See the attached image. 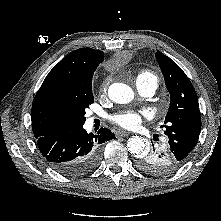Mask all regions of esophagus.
<instances>
[{
	"label": "esophagus",
	"mask_w": 221,
	"mask_h": 221,
	"mask_svg": "<svg viewBox=\"0 0 221 221\" xmlns=\"http://www.w3.org/2000/svg\"><path fill=\"white\" fill-rule=\"evenodd\" d=\"M131 133L125 130H120L116 133L117 136H122V137H126L129 136Z\"/></svg>",
	"instance_id": "esophagus-1"
}]
</instances>
